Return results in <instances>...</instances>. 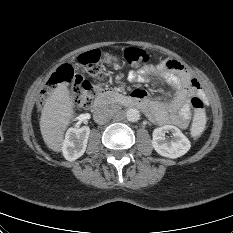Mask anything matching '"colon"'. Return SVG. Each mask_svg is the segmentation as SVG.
I'll use <instances>...</instances> for the list:
<instances>
[{"label":"colon","instance_id":"1","mask_svg":"<svg viewBox=\"0 0 233 233\" xmlns=\"http://www.w3.org/2000/svg\"><path fill=\"white\" fill-rule=\"evenodd\" d=\"M125 60L132 66H143L149 61L146 51L129 47L124 50ZM79 62L85 67L86 71L93 77L97 76L101 70V54L99 50H91L79 56ZM60 84L71 86L74 103L80 108H89L98 93L99 83L89 81L75 74L71 65H61L49 78L39 97V104H44L49 95ZM190 104L194 108V120L191 127V135L199 137L205 128L206 116L204 102L200 96L190 97Z\"/></svg>","mask_w":233,"mask_h":233}]
</instances>
